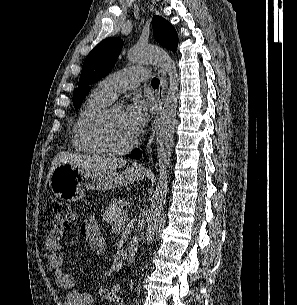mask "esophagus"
<instances>
[{"label":"esophagus","instance_id":"obj_1","mask_svg":"<svg viewBox=\"0 0 297 305\" xmlns=\"http://www.w3.org/2000/svg\"><path fill=\"white\" fill-rule=\"evenodd\" d=\"M158 76L160 78V86H159V89H158L159 108H158L157 114H156V116H155V118H154V120L151 124L150 136H149V140L146 144V148H145L146 155H149L152 151V147H153L154 139H155V132H156V129H157V123L159 121V116H160V110H161L163 102H164L165 90H166V87H167L166 72L163 68L158 69ZM136 167L141 169L142 165L138 164Z\"/></svg>","mask_w":297,"mask_h":305}]
</instances>
